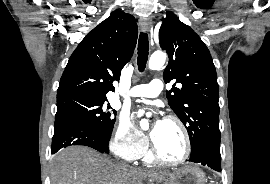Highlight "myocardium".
Masks as SVG:
<instances>
[{"label":"myocardium","instance_id":"obj_1","mask_svg":"<svg viewBox=\"0 0 270 184\" xmlns=\"http://www.w3.org/2000/svg\"><path fill=\"white\" fill-rule=\"evenodd\" d=\"M164 121H169V122L175 123L179 127V129L181 130L182 135H183V139H184V153H183L182 157L176 161L166 160L159 154L158 149H157L154 141H152L151 154L157 162H159L163 165L171 166V167L180 166V165L184 164L189 159L190 154H191V139H190L188 129H187L186 125L184 124V122L177 116L168 115L165 117Z\"/></svg>","mask_w":270,"mask_h":184}]
</instances>
